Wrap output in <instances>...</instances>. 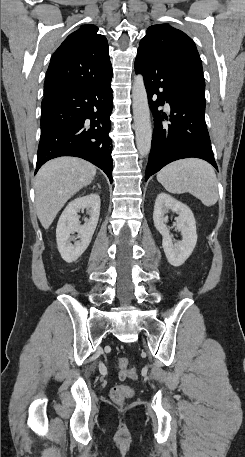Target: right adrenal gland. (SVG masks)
<instances>
[{"label": "right adrenal gland", "mask_w": 245, "mask_h": 457, "mask_svg": "<svg viewBox=\"0 0 245 457\" xmlns=\"http://www.w3.org/2000/svg\"><path fill=\"white\" fill-rule=\"evenodd\" d=\"M99 188H101L100 184H98ZM93 188H95V186H93Z\"/></svg>", "instance_id": "right-adrenal-gland-1"}]
</instances>
